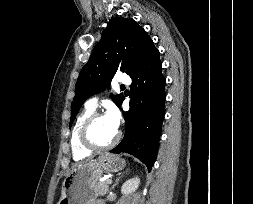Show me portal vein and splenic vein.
<instances>
[{
	"label": "portal vein and splenic vein",
	"mask_w": 253,
	"mask_h": 204,
	"mask_svg": "<svg viewBox=\"0 0 253 204\" xmlns=\"http://www.w3.org/2000/svg\"><path fill=\"white\" fill-rule=\"evenodd\" d=\"M107 184H112V180H111V179H108V180H107Z\"/></svg>",
	"instance_id": "portal-vein-and-splenic-vein-1"
}]
</instances>
